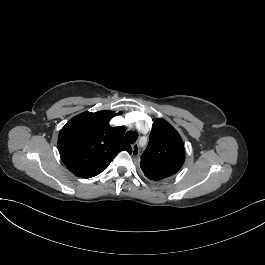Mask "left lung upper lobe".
Instances as JSON below:
<instances>
[{
	"mask_svg": "<svg viewBox=\"0 0 265 265\" xmlns=\"http://www.w3.org/2000/svg\"><path fill=\"white\" fill-rule=\"evenodd\" d=\"M185 161V149L178 132L164 119L152 125L150 140L141 156L144 175L154 181L166 179L177 173Z\"/></svg>",
	"mask_w": 265,
	"mask_h": 265,
	"instance_id": "1",
	"label": "left lung upper lobe"
}]
</instances>
